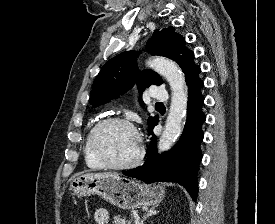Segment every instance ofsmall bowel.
I'll list each match as a JSON object with an SVG mask.
<instances>
[{
  "label": "small bowel",
  "mask_w": 275,
  "mask_h": 224,
  "mask_svg": "<svg viewBox=\"0 0 275 224\" xmlns=\"http://www.w3.org/2000/svg\"><path fill=\"white\" fill-rule=\"evenodd\" d=\"M94 220L96 224H108L109 213L104 208H99L94 213Z\"/></svg>",
  "instance_id": "1"
}]
</instances>
